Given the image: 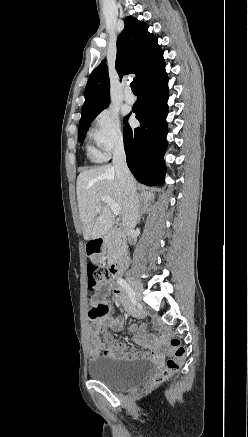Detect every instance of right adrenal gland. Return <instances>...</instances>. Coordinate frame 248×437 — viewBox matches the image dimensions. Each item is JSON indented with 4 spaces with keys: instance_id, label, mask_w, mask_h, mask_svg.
<instances>
[{
    "instance_id": "right-adrenal-gland-1",
    "label": "right adrenal gland",
    "mask_w": 248,
    "mask_h": 437,
    "mask_svg": "<svg viewBox=\"0 0 248 437\" xmlns=\"http://www.w3.org/2000/svg\"><path fill=\"white\" fill-rule=\"evenodd\" d=\"M147 211H148V205H147L146 202H143V203L140 205V212H139L138 222L140 221L141 216H142L143 214L147 213Z\"/></svg>"
}]
</instances>
